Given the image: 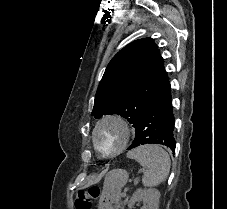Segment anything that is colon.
<instances>
[{
  "label": "colon",
  "instance_id": "colon-1",
  "mask_svg": "<svg viewBox=\"0 0 227 209\" xmlns=\"http://www.w3.org/2000/svg\"><path fill=\"white\" fill-rule=\"evenodd\" d=\"M100 189L91 186L77 192L74 202L75 209H92L93 202L98 198Z\"/></svg>",
  "mask_w": 227,
  "mask_h": 209
}]
</instances>
